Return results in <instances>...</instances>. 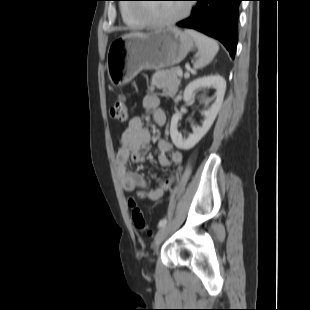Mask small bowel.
<instances>
[{"label": "small bowel", "mask_w": 310, "mask_h": 310, "mask_svg": "<svg viewBox=\"0 0 310 310\" xmlns=\"http://www.w3.org/2000/svg\"><path fill=\"white\" fill-rule=\"evenodd\" d=\"M142 107L150 111L154 122L163 126L166 124V112L160 106L156 96L148 95L142 100ZM151 140L150 130L144 125L139 116L130 119L127 128L121 134L119 146L115 151L116 169L121 187L130 193H135L140 199L159 200L164 193L178 179L182 170L183 155L175 150L167 140L158 142V162L164 168L176 166V171L169 178L163 180L156 188H149L145 178L138 172L129 170L128 164L140 163L144 159V152L148 149Z\"/></svg>", "instance_id": "small-bowel-1"}]
</instances>
